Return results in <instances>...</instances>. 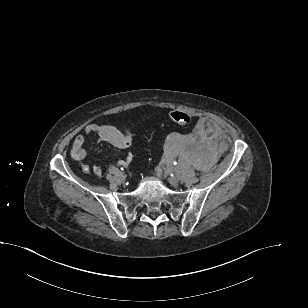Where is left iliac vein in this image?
<instances>
[{
    "instance_id": "left-iliac-vein-1",
    "label": "left iliac vein",
    "mask_w": 308,
    "mask_h": 308,
    "mask_svg": "<svg viewBox=\"0 0 308 308\" xmlns=\"http://www.w3.org/2000/svg\"><path fill=\"white\" fill-rule=\"evenodd\" d=\"M169 172V170L168 169H166V173H168ZM168 181H169V183L171 184V185H173V186H177L178 184H179V180H178V178L177 177H169L168 178Z\"/></svg>"
}]
</instances>
